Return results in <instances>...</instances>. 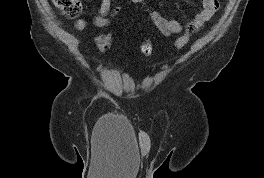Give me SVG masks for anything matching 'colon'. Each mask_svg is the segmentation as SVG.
<instances>
[{
  "label": "colon",
  "mask_w": 264,
  "mask_h": 178,
  "mask_svg": "<svg viewBox=\"0 0 264 178\" xmlns=\"http://www.w3.org/2000/svg\"><path fill=\"white\" fill-rule=\"evenodd\" d=\"M53 5L69 18H77L82 13V4L80 0H51ZM190 34L185 32L184 35L176 41L177 47H183L189 40ZM98 48L105 53L109 50L111 44V34L106 33L96 38ZM143 55L151 57L154 54V48L149 40H144L140 45Z\"/></svg>",
  "instance_id": "5ec220e1"
}]
</instances>
